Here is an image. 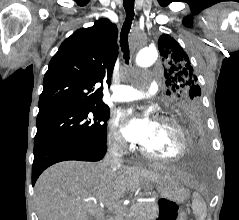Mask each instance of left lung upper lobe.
Returning <instances> with one entry per match:
<instances>
[{"label": "left lung upper lobe", "instance_id": "obj_1", "mask_svg": "<svg viewBox=\"0 0 239 220\" xmlns=\"http://www.w3.org/2000/svg\"><path fill=\"white\" fill-rule=\"evenodd\" d=\"M158 49L163 61L170 112L176 116L186 109H202L201 89L182 47L174 38L163 34L158 40Z\"/></svg>", "mask_w": 239, "mask_h": 220}]
</instances>
